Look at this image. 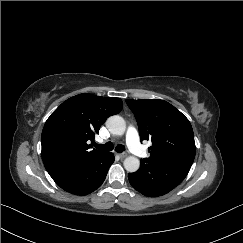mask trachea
Returning <instances> with one entry per match:
<instances>
[{"label":"trachea","instance_id":"3493384b","mask_svg":"<svg viewBox=\"0 0 243 243\" xmlns=\"http://www.w3.org/2000/svg\"><path fill=\"white\" fill-rule=\"evenodd\" d=\"M94 146L97 148V149H100V150H105V151H111L113 150V143L112 142H107L106 144H94ZM125 150V146L124 145H117L116 148H115V151L118 152V153H121Z\"/></svg>","mask_w":243,"mask_h":243}]
</instances>
